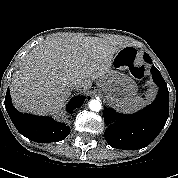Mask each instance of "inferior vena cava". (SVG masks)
<instances>
[{"instance_id": "obj_1", "label": "inferior vena cava", "mask_w": 178, "mask_h": 178, "mask_svg": "<svg viewBox=\"0 0 178 178\" xmlns=\"http://www.w3.org/2000/svg\"><path fill=\"white\" fill-rule=\"evenodd\" d=\"M71 86H72L73 89H78L79 88V84H78L77 81H72Z\"/></svg>"}]
</instances>
